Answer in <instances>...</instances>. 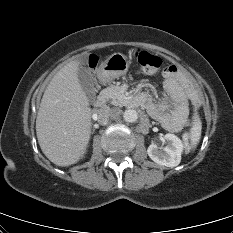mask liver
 Instances as JSON below:
<instances>
[{"label": "liver", "mask_w": 233, "mask_h": 233, "mask_svg": "<svg viewBox=\"0 0 233 233\" xmlns=\"http://www.w3.org/2000/svg\"><path fill=\"white\" fill-rule=\"evenodd\" d=\"M79 60L62 67L48 84L36 118L44 155L55 165L70 166L83 157L91 135V108L78 79Z\"/></svg>", "instance_id": "liver-1"}]
</instances>
